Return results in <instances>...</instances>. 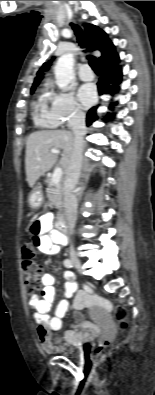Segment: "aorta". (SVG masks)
Wrapping results in <instances>:
<instances>
[{
	"mask_svg": "<svg viewBox=\"0 0 155 395\" xmlns=\"http://www.w3.org/2000/svg\"><path fill=\"white\" fill-rule=\"evenodd\" d=\"M74 57L72 54H64L60 56L54 67V73L56 78V84L60 88H67V86L72 81L73 74Z\"/></svg>",
	"mask_w": 155,
	"mask_h": 395,
	"instance_id": "aorta-1",
	"label": "aorta"
}]
</instances>
